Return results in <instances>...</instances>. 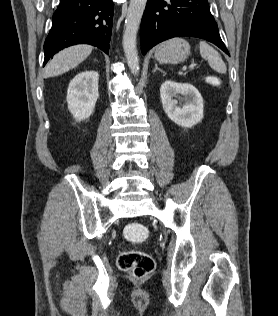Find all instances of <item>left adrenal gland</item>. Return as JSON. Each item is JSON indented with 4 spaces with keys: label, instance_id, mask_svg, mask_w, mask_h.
I'll use <instances>...</instances> for the list:
<instances>
[{
    "label": "left adrenal gland",
    "instance_id": "obj_1",
    "mask_svg": "<svg viewBox=\"0 0 278 316\" xmlns=\"http://www.w3.org/2000/svg\"><path fill=\"white\" fill-rule=\"evenodd\" d=\"M157 70L165 74V72L162 69L158 68V65L155 63V68L153 72H156Z\"/></svg>",
    "mask_w": 278,
    "mask_h": 316
}]
</instances>
